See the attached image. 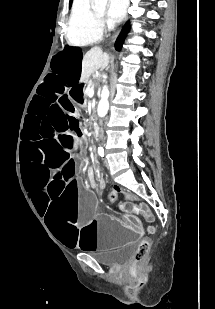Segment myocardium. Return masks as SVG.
Instances as JSON below:
<instances>
[{"instance_id":"myocardium-1","label":"myocardium","mask_w":215,"mask_h":309,"mask_svg":"<svg viewBox=\"0 0 215 309\" xmlns=\"http://www.w3.org/2000/svg\"><path fill=\"white\" fill-rule=\"evenodd\" d=\"M97 24L99 25V28L97 30H108L109 29V24L108 23L98 22Z\"/></svg>"}]
</instances>
